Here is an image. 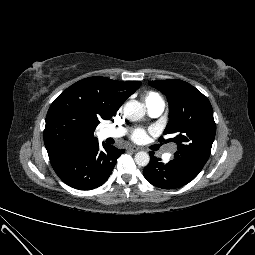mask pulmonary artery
I'll list each match as a JSON object with an SVG mask.
<instances>
[{"label": "pulmonary artery", "instance_id": "obj_1", "mask_svg": "<svg viewBox=\"0 0 255 255\" xmlns=\"http://www.w3.org/2000/svg\"><path fill=\"white\" fill-rule=\"evenodd\" d=\"M164 109H165V104L163 101H160V102H157V103L151 105L150 107H148V113L151 117L156 118V117H159L163 113ZM124 133H125V130L122 128H120V129H104L101 131V136L103 138H118V137L123 136ZM173 150L174 149H171V152ZM171 152L166 153L164 155V157L166 159L169 158L171 155Z\"/></svg>", "mask_w": 255, "mask_h": 255}]
</instances>
